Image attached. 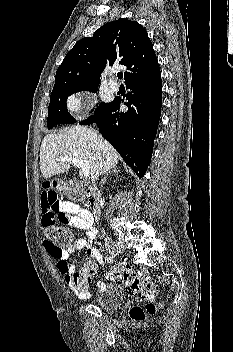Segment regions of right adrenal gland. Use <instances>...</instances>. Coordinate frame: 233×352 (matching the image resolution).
<instances>
[{"mask_svg":"<svg viewBox=\"0 0 233 352\" xmlns=\"http://www.w3.org/2000/svg\"><path fill=\"white\" fill-rule=\"evenodd\" d=\"M112 174H118V171L116 169V167L110 169V171L107 172V174L104 176V178L102 179L100 185H104L105 184V181H106V178Z\"/></svg>","mask_w":233,"mask_h":352,"instance_id":"obj_1","label":"right adrenal gland"}]
</instances>
